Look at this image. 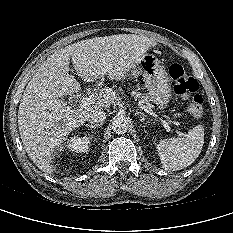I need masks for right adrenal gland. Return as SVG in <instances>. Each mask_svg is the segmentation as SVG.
I'll use <instances>...</instances> for the list:
<instances>
[{"label": "right adrenal gland", "mask_w": 233, "mask_h": 233, "mask_svg": "<svg viewBox=\"0 0 233 233\" xmlns=\"http://www.w3.org/2000/svg\"><path fill=\"white\" fill-rule=\"evenodd\" d=\"M86 127H90L92 129H97L98 127H100V125H90V124H87Z\"/></svg>", "instance_id": "obj_1"}]
</instances>
